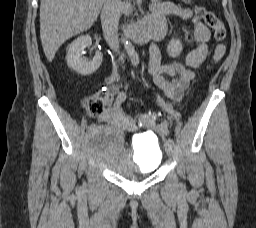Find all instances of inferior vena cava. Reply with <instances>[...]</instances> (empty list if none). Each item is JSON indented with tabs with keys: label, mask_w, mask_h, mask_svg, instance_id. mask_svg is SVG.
<instances>
[{
	"label": "inferior vena cava",
	"mask_w": 256,
	"mask_h": 228,
	"mask_svg": "<svg viewBox=\"0 0 256 228\" xmlns=\"http://www.w3.org/2000/svg\"><path fill=\"white\" fill-rule=\"evenodd\" d=\"M120 0H105L101 13V23L105 40L109 46L119 52L118 22Z\"/></svg>",
	"instance_id": "inferior-vena-cava-1"
}]
</instances>
